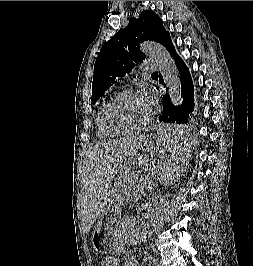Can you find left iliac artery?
<instances>
[{"label":"left iliac artery","instance_id":"44dca946","mask_svg":"<svg viewBox=\"0 0 253 266\" xmlns=\"http://www.w3.org/2000/svg\"><path fill=\"white\" fill-rule=\"evenodd\" d=\"M153 262H154V264H155L156 266L158 265V261H157L156 258H153Z\"/></svg>","mask_w":253,"mask_h":266}]
</instances>
